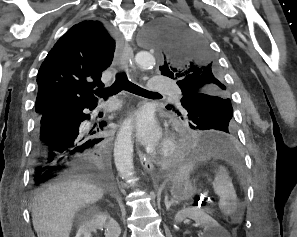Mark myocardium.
<instances>
[{
	"mask_svg": "<svg viewBox=\"0 0 297 237\" xmlns=\"http://www.w3.org/2000/svg\"><path fill=\"white\" fill-rule=\"evenodd\" d=\"M177 140L174 135L167 133L163 141L160 145V148L158 150V155L161 158H169L171 157L175 151L177 150Z\"/></svg>",
	"mask_w": 297,
	"mask_h": 237,
	"instance_id": "obj_1",
	"label": "myocardium"
}]
</instances>
